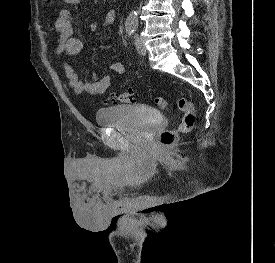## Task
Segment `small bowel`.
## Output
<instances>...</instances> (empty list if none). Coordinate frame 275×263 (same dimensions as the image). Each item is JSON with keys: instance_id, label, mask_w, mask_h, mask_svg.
<instances>
[{"instance_id": "1", "label": "small bowel", "mask_w": 275, "mask_h": 263, "mask_svg": "<svg viewBox=\"0 0 275 263\" xmlns=\"http://www.w3.org/2000/svg\"><path fill=\"white\" fill-rule=\"evenodd\" d=\"M68 4H78L81 0H64ZM115 10H110L102 18L103 26H110L116 20ZM54 28L59 34L56 55L61 62L69 86L77 94L99 95L103 94L113 83L114 79L125 72L122 62H114L111 72L103 77L94 76L90 81H84L79 73L63 58L64 54L76 55L84 48V39L74 36L73 18L68 10H61L55 20Z\"/></svg>"}]
</instances>
